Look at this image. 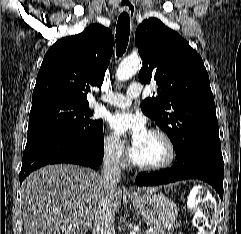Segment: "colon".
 I'll list each match as a JSON object with an SVG mask.
<instances>
[{
  "label": "colon",
  "mask_w": 241,
  "mask_h": 234,
  "mask_svg": "<svg viewBox=\"0 0 241 234\" xmlns=\"http://www.w3.org/2000/svg\"><path fill=\"white\" fill-rule=\"evenodd\" d=\"M189 206L195 211L194 226L197 234H206L210 217L214 211V203L205 188L197 189L189 198Z\"/></svg>",
  "instance_id": "1"
}]
</instances>
